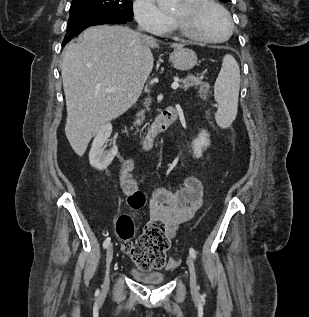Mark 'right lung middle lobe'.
Instances as JSON below:
<instances>
[{
	"label": "right lung middle lobe",
	"instance_id": "1",
	"mask_svg": "<svg viewBox=\"0 0 309 317\" xmlns=\"http://www.w3.org/2000/svg\"><path fill=\"white\" fill-rule=\"evenodd\" d=\"M88 13L110 15L132 21V0H72L70 16Z\"/></svg>",
	"mask_w": 309,
	"mask_h": 317
}]
</instances>
